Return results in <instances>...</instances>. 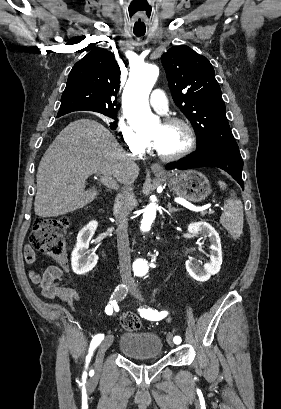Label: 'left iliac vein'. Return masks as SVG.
<instances>
[{
    "label": "left iliac vein",
    "mask_w": 281,
    "mask_h": 409,
    "mask_svg": "<svg viewBox=\"0 0 281 409\" xmlns=\"http://www.w3.org/2000/svg\"><path fill=\"white\" fill-rule=\"evenodd\" d=\"M129 291H130V293H131L132 295H134L135 297H137V298H139L140 300H142V297H141L140 293L138 292V290H137V288H136V285H135L134 283H130V285H129ZM173 339H174V338H173V334H172V333H169L168 336H167V341H168V344H169L171 347H173V346L175 345Z\"/></svg>",
    "instance_id": "4c4485c4"
}]
</instances>
